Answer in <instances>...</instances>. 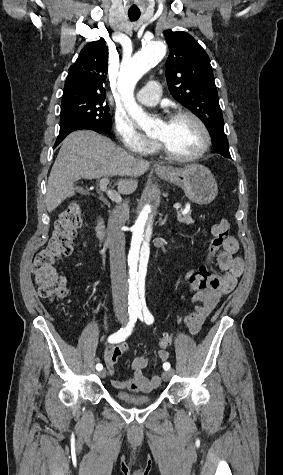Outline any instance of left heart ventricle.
Returning <instances> with one entry per match:
<instances>
[{
  "label": "left heart ventricle",
  "mask_w": 283,
  "mask_h": 475,
  "mask_svg": "<svg viewBox=\"0 0 283 475\" xmlns=\"http://www.w3.org/2000/svg\"><path fill=\"white\" fill-rule=\"evenodd\" d=\"M154 137L160 139L169 152L175 156H188L199 148L202 131L191 119L179 117L161 121Z\"/></svg>",
  "instance_id": "left-heart-ventricle-1"
}]
</instances>
